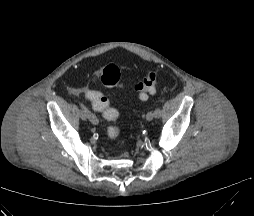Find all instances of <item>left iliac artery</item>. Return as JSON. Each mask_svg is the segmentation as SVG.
Instances as JSON below:
<instances>
[{
  "label": "left iliac artery",
  "instance_id": "44dca946",
  "mask_svg": "<svg viewBox=\"0 0 254 216\" xmlns=\"http://www.w3.org/2000/svg\"><path fill=\"white\" fill-rule=\"evenodd\" d=\"M162 114V108L160 106L156 107L154 110V117L159 118Z\"/></svg>",
  "mask_w": 254,
  "mask_h": 216
}]
</instances>
